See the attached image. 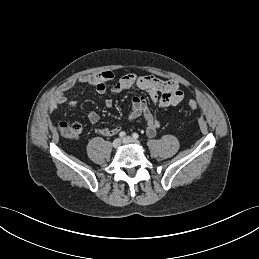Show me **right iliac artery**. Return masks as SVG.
<instances>
[{"label": "right iliac artery", "instance_id": "82829eb1", "mask_svg": "<svg viewBox=\"0 0 259 259\" xmlns=\"http://www.w3.org/2000/svg\"><path fill=\"white\" fill-rule=\"evenodd\" d=\"M125 135H126V133L124 131L119 133L120 138H124Z\"/></svg>", "mask_w": 259, "mask_h": 259}]
</instances>
